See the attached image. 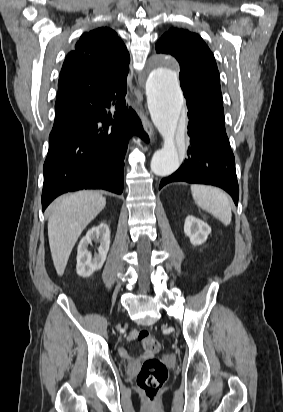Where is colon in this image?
<instances>
[{
    "label": "colon",
    "mask_w": 283,
    "mask_h": 412,
    "mask_svg": "<svg viewBox=\"0 0 283 412\" xmlns=\"http://www.w3.org/2000/svg\"><path fill=\"white\" fill-rule=\"evenodd\" d=\"M136 339L149 352L160 350V342L146 330L139 331ZM167 377L168 370L165 364L157 358H148L142 364L137 376V385L150 402H155Z\"/></svg>",
    "instance_id": "5ec220e1"
}]
</instances>
